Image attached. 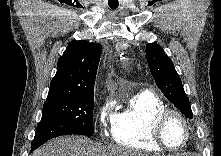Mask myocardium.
Returning a JSON list of instances; mask_svg holds the SVG:
<instances>
[{
  "instance_id": "obj_1",
  "label": "myocardium",
  "mask_w": 221,
  "mask_h": 156,
  "mask_svg": "<svg viewBox=\"0 0 221 156\" xmlns=\"http://www.w3.org/2000/svg\"><path fill=\"white\" fill-rule=\"evenodd\" d=\"M171 116H176L178 117L184 124L185 126V131H186V136H185V140L182 143L181 146L173 148L170 147L169 145H167V143L164 140L163 137V129L164 126L167 122V120L171 117ZM152 139L153 141L162 149L169 151V152H178L183 150L187 144L189 143L190 137H191V126L190 123L188 121V119L186 118V116L181 113L178 110L175 109H170L167 108L165 110H163L160 114L157 115V117L155 118L153 125H152Z\"/></svg>"
}]
</instances>
